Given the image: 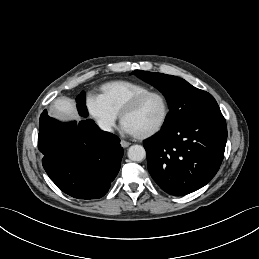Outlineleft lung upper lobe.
<instances>
[{"instance_id": "left-lung-upper-lobe-1", "label": "left lung upper lobe", "mask_w": 259, "mask_h": 259, "mask_svg": "<svg viewBox=\"0 0 259 259\" xmlns=\"http://www.w3.org/2000/svg\"><path fill=\"white\" fill-rule=\"evenodd\" d=\"M132 74L155 86L166 97L170 112L162 129L221 113L211 94L192 86L182 78L142 70H135Z\"/></svg>"}]
</instances>
